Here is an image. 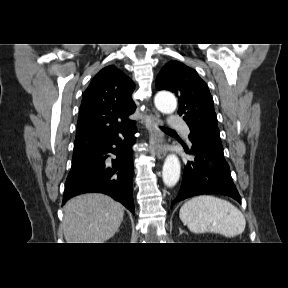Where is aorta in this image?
Segmentation results:
<instances>
[{
    "mask_svg": "<svg viewBox=\"0 0 288 288\" xmlns=\"http://www.w3.org/2000/svg\"><path fill=\"white\" fill-rule=\"evenodd\" d=\"M156 108L165 114L173 113L177 107V101L173 94L160 92L154 100ZM180 161L175 154L166 157L162 170L163 182L167 187H173L177 184L180 177Z\"/></svg>",
    "mask_w": 288,
    "mask_h": 288,
    "instance_id": "762f6f07",
    "label": "aorta"
}]
</instances>
